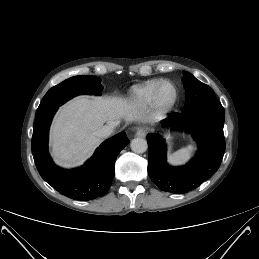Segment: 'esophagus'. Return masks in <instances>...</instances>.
Returning a JSON list of instances; mask_svg holds the SVG:
<instances>
[{
	"instance_id": "obj_1",
	"label": "esophagus",
	"mask_w": 259,
	"mask_h": 259,
	"mask_svg": "<svg viewBox=\"0 0 259 259\" xmlns=\"http://www.w3.org/2000/svg\"><path fill=\"white\" fill-rule=\"evenodd\" d=\"M135 134H136V136H138V137H145L146 134H147V130H146L145 128L138 127V128H136V130H135Z\"/></svg>"
}]
</instances>
